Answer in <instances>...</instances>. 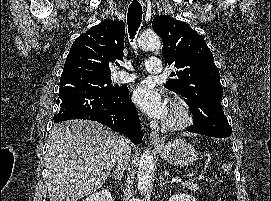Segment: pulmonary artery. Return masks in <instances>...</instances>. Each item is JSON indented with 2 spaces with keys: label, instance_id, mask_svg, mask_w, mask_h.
Masks as SVG:
<instances>
[{
  "label": "pulmonary artery",
  "instance_id": "1",
  "mask_svg": "<svg viewBox=\"0 0 271 201\" xmlns=\"http://www.w3.org/2000/svg\"><path fill=\"white\" fill-rule=\"evenodd\" d=\"M125 68L132 69V66L130 64H125ZM146 69L151 74H159L162 70V62L158 57H150L147 64ZM136 75L133 73L126 72L124 70L119 71L115 75V81L119 83H128L135 80Z\"/></svg>",
  "mask_w": 271,
  "mask_h": 201
}]
</instances>
